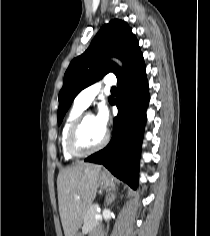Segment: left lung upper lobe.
<instances>
[{
	"label": "left lung upper lobe",
	"instance_id": "left-lung-upper-lobe-1",
	"mask_svg": "<svg viewBox=\"0 0 210 236\" xmlns=\"http://www.w3.org/2000/svg\"><path fill=\"white\" fill-rule=\"evenodd\" d=\"M111 56L119 58L124 68L109 61ZM143 62L138 40L127 22L114 19L102 26L88 49L74 58L65 72L64 84L59 93L58 124H61L81 90L100 80L109 71L114 72L118 80L125 78Z\"/></svg>",
	"mask_w": 210,
	"mask_h": 236
}]
</instances>
